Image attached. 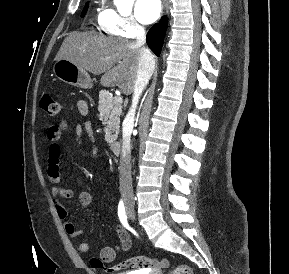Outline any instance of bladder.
I'll list each match as a JSON object with an SVG mask.
<instances>
[{"label":"bladder","instance_id":"1","mask_svg":"<svg viewBox=\"0 0 289 274\" xmlns=\"http://www.w3.org/2000/svg\"><path fill=\"white\" fill-rule=\"evenodd\" d=\"M117 274H147V273L144 271H129V272H120Z\"/></svg>","mask_w":289,"mask_h":274}]
</instances>
